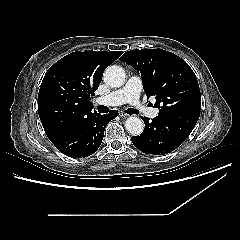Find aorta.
<instances>
[{
    "label": "aorta",
    "mask_w": 240,
    "mask_h": 240,
    "mask_svg": "<svg viewBox=\"0 0 240 240\" xmlns=\"http://www.w3.org/2000/svg\"><path fill=\"white\" fill-rule=\"evenodd\" d=\"M103 78L108 86L113 88L121 87L125 82V71L117 65L109 66L105 70ZM125 128L129 134L138 136L144 130V122L137 116H131L126 119Z\"/></svg>",
    "instance_id": "aorta-1"
}]
</instances>
